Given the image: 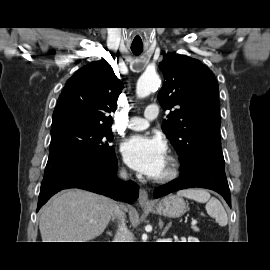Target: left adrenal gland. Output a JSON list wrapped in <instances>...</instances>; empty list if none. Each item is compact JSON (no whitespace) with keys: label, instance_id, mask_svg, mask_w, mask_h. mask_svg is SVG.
<instances>
[{"label":"left adrenal gland","instance_id":"a2214340","mask_svg":"<svg viewBox=\"0 0 270 270\" xmlns=\"http://www.w3.org/2000/svg\"><path fill=\"white\" fill-rule=\"evenodd\" d=\"M159 226H160V228L163 227V223H162L161 220H159ZM170 227H171V223H169V224L166 225V227L164 228V230H163V232H162V236H164V235L167 233V231H168V229H169Z\"/></svg>","mask_w":270,"mask_h":270}]
</instances>
